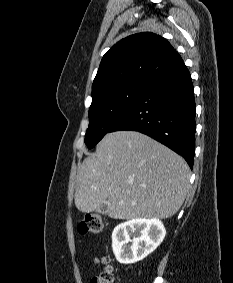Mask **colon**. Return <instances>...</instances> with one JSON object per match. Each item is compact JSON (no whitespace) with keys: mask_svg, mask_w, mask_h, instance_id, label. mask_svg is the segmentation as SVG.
<instances>
[{"mask_svg":"<svg viewBox=\"0 0 233 283\" xmlns=\"http://www.w3.org/2000/svg\"><path fill=\"white\" fill-rule=\"evenodd\" d=\"M103 223L100 216L96 214H87L80 222L78 230L83 235H97L102 231ZM106 261L104 271L98 276L91 279L90 283H113L114 276L112 268Z\"/></svg>","mask_w":233,"mask_h":283,"instance_id":"colon-1","label":"colon"}]
</instances>
